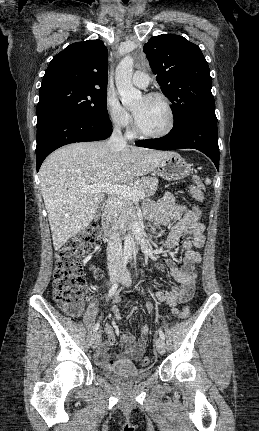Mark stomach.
Here are the masks:
<instances>
[{"label":"stomach","instance_id":"obj_1","mask_svg":"<svg viewBox=\"0 0 259 431\" xmlns=\"http://www.w3.org/2000/svg\"><path fill=\"white\" fill-rule=\"evenodd\" d=\"M157 174L167 181L180 180L191 172L188 164L178 153L171 152L157 167Z\"/></svg>","mask_w":259,"mask_h":431}]
</instances>
